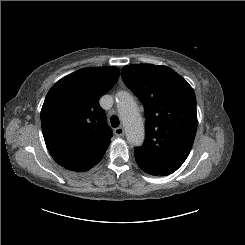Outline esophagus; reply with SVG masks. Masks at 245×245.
Instances as JSON below:
<instances>
[{"label": "esophagus", "mask_w": 245, "mask_h": 245, "mask_svg": "<svg viewBox=\"0 0 245 245\" xmlns=\"http://www.w3.org/2000/svg\"><path fill=\"white\" fill-rule=\"evenodd\" d=\"M116 136H123L124 135V129L122 127H118L114 130Z\"/></svg>", "instance_id": "34e87169"}]
</instances>
